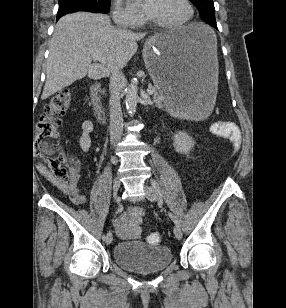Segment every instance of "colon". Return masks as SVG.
<instances>
[{
    "mask_svg": "<svg viewBox=\"0 0 286 308\" xmlns=\"http://www.w3.org/2000/svg\"><path fill=\"white\" fill-rule=\"evenodd\" d=\"M72 99L69 89L55 93L46 104L35 129L37 154L43 158L53 176L61 181H69L73 175L61 146L58 143V130L62 124L61 117L67 112ZM215 133L228 136L232 128L227 123L218 122L212 126ZM238 147L239 141H232ZM147 241L151 245H159L162 237L159 233H151Z\"/></svg>",
    "mask_w": 286,
    "mask_h": 308,
    "instance_id": "obj_1",
    "label": "colon"
}]
</instances>
